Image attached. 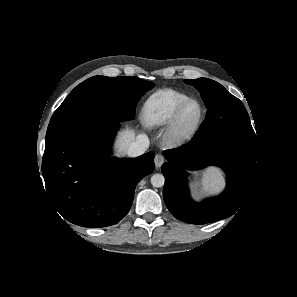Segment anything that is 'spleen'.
Here are the masks:
<instances>
[{
	"label": "spleen",
	"mask_w": 297,
	"mask_h": 297,
	"mask_svg": "<svg viewBox=\"0 0 297 297\" xmlns=\"http://www.w3.org/2000/svg\"><path fill=\"white\" fill-rule=\"evenodd\" d=\"M221 180L222 177L218 170L209 169L204 176L203 183L207 188L212 189L219 185Z\"/></svg>",
	"instance_id": "3e777b00"
}]
</instances>
